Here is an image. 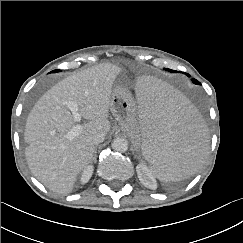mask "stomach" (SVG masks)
I'll list each match as a JSON object with an SVG mask.
<instances>
[{"instance_id":"obj_1","label":"stomach","mask_w":243,"mask_h":243,"mask_svg":"<svg viewBox=\"0 0 243 243\" xmlns=\"http://www.w3.org/2000/svg\"><path fill=\"white\" fill-rule=\"evenodd\" d=\"M135 102L132 94L125 87H114L110 101V111L118 121L121 129L130 136L134 144L138 131Z\"/></svg>"}]
</instances>
